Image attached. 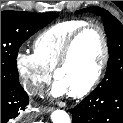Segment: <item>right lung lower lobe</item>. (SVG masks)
Here are the masks:
<instances>
[{
	"label": "right lung lower lobe",
	"instance_id": "right-lung-lower-lobe-1",
	"mask_svg": "<svg viewBox=\"0 0 123 123\" xmlns=\"http://www.w3.org/2000/svg\"><path fill=\"white\" fill-rule=\"evenodd\" d=\"M29 97L19 84H1V123L19 122V115L26 105Z\"/></svg>",
	"mask_w": 123,
	"mask_h": 123
}]
</instances>
